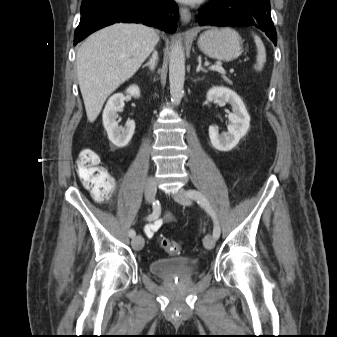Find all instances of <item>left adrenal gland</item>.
Here are the masks:
<instances>
[{
    "label": "left adrenal gland",
    "mask_w": 337,
    "mask_h": 337,
    "mask_svg": "<svg viewBox=\"0 0 337 337\" xmlns=\"http://www.w3.org/2000/svg\"><path fill=\"white\" fill-rule=\"evenodd\" d=\"M199 71H202L204 73H207V70L204 69L201 65V57L198 58V66L196 68V72L198 73Z\"/></svg>",
    "instance_id": "1"
}]
</instances>
